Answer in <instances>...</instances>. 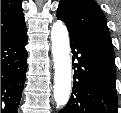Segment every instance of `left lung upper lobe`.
<instances>
[{
  "mask_svg": "<svg viewBox=\"0 0 121 113\" xmlns=\"http://www.w3.org/2000/svg\"><path fill=\"white\" fill-rule=\"evenodd\" d=\"M57 17L66 24L69 34L82 40L115 65L106 18L94 0H62Z\"/></svg>",
  "mask_w": 121,
  "mask_h": 113,
  "instance_id": "obj_1",
  "label": "left lung upper lobe"
}]
</instances>
